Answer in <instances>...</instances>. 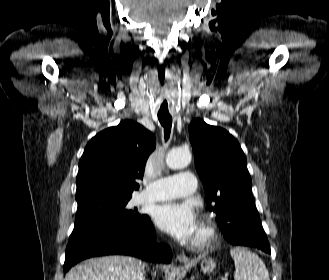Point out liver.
<instances>
[{"mask_svg": "<svg viewBox=\"0 0 329 280\" xmlns=\"http://www.w3.org/2000/svg\"><path fill=\"white\" fill-rule=\"evenodd\" d=\"M146 264L128 256L92 258L72 268L65 280H141Z\"/></svg>", "mask_w": 329, "mask_h": 280, "instance_id": "liver-1", "label": "liver"}]
</instances>
